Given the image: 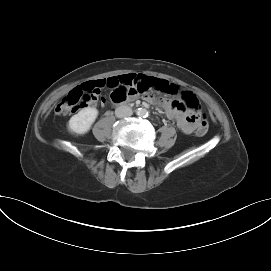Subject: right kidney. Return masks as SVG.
<instances>
[{"label":"right kidney","mask_w":271,"mask_h":271,"mask_svg":"<svg viewBox=\"0 0 271 271\" xmlns=\"http://www.w3.org/2000/svg\"><path fill=\"white\" fill-rule=\"evenodd\" d=\"M98 116L96 108L87 107L72 116L68 122V129L76 134L87 133Z\"/></svg>","instance_id":"right-kidney-1"}]
</instances>
